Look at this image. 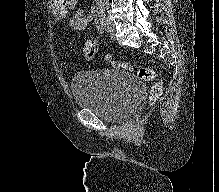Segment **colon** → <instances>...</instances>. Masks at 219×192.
<instances>
[{"mask_svg": "<svg viewBox=\"0 0 219 192\" xmlns=\"http://www.w3.org/2000/svg\"><path fill=\"white\" fill-rule=\"evenodd\" d=\"M97 53H98L97 43L94 40H90L85 44L82 50V58L86 61H91L97 57ZM117 65L123 70L134 74L141 81H151L155 76V71L152 68H145V67L134 68L127 61L117 62ZM163 90H164L163 82L154 84L150 90V100L153 102L158 100L163 94Z\"/></svg>", "mask_w": 219, "mask_h": 192, "instance_id": "colon-1", "label": "colon"}]
</instances>
